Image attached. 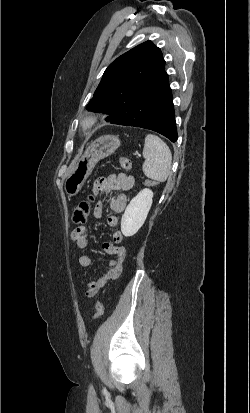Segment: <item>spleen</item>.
Returning a JSON list of instances; mask_svg holds the SVG:
<instances>
[{
	"label": "spleen",
	"instance_id": "spleen-1",
	"mask_svg": "<svg viewBox=\"0 0 250 413\" xmlns=\"http://www.w3.org/2000/svg\"><path fill=\"white\" fill-rule=\"evenodd\" d=\"M145 161L142 169L146 177L157 182L167 180L171 171L172 154L165 142L158 136L148 134L143 148Z\"/></svg>",
	"mask_w": 250,
	"mask_h": 413
}]
</instances>
